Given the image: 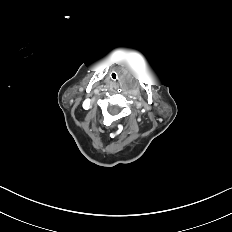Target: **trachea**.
<instances>
[{"label": "trachea", "mask_w": 232, "mask_h": 232, "mask_svg": "<svg viewBox=\"0 0 232 232\" xmlns=\"http://www.w3.org/2000/svg\"><path fill=\"white\" fill-rule=\"evenodd\" d=\"M109 78L112 82H116L118 80V74L116 72H111Z\"/></svg>", "instance_id": "3493384b"}]
</instances>
